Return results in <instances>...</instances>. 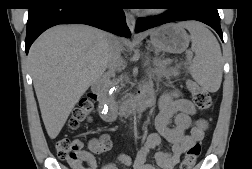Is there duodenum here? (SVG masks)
<instances>
[{
	"label": "duodenum",
	"instance_id": "1",
	"mask_svg": "<svg viewBox=\"0 0 252 169\" xmlns=\"http://www.w3.org/2000/svg\"><path fill=\"white\" fill-rule=\"evenodd\" d=\"M92 89L98 96L100 116L105 122H114L120 112L127 116L142 113L154 104L151 96H141L120 107L116 101L109 97L107 84L103 79L94 82Z\"/></svg>",
	"mask_w": 252,
	"mask_h": 169
}]
</instances>
